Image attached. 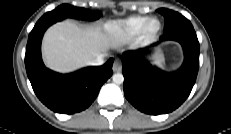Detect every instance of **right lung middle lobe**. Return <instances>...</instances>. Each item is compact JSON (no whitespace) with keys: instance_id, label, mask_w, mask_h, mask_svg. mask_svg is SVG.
Instances as JSON below:
<instances>
[{"instance_id":"right-lung-middle-lobe-1","label":"right lung middle lobe","mask_w":231,"mask_h":134,"mask_svg":"<svg viewBox=\"0 0 231 134\" xmlns=\"http://www.w3.org/2000/svg\"><path fill=\"white\" fill-rule=\"evenodd\" d=\"M101 12L89 11L84 8L73 7L68 4H63L51 12L44 14L39 21H60L66 17L77 18L82 20H96L100 18Z\"/></svg>"}]
</instances>
